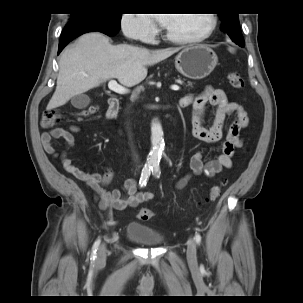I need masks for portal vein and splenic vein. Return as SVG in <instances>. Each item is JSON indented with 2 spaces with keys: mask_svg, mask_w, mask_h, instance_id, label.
<instances>
[{
  "mask_svg": "<svg viewBox=\"0 0 303 303\" xmlns=\"http://www.w3.org/2000/svg\"><path fill=\"white\" fill-rule=\"evenodd\" d=\"M108 88L118 94H126L129 90L121 85H119L115 80H110L108 83ZM171 89L174 91H178L180 87L178 85H172Z\"/></svg>",
  "mask_w": 303,
  "mask_h": 303,
  "instance_id": "1",
  "label": "portal vein and splenic vein"
}]
</instances>
